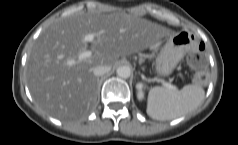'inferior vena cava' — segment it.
<instances>
[{"instance_id":"inferior-vena-cava-1","label":"inferior vena cava","mask_w":238,"mask_h":145,"mask_svg":"<svg viewBox=\"0 0 238 145\" xmlns=\"http://www.w3.org/2000/svg\"><path fill=\"white\" fill-rule=\"evenodd\" d=\"M111 70L110 66L107 65H99L93 69V74L97 77L102 76L108 73Z\"/></svg>"}]
</instances>
